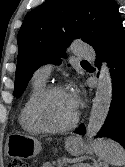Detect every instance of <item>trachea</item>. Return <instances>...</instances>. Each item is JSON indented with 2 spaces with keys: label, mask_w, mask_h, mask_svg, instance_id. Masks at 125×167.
Segmentation results:
<instances>
[{
  "label": "trachea",
  "mask_w": 125,
  "mask_h": 167,
  "mask_svg": "<svg viewBox=\"0 0 125 167\" xmlns=\"http://www.w3.org/2000/svg\"><path fill=\"white\" fill-rule=\"evenodd\" d=\"M82 63H87V61L83 60Z\"/></svg>",
  "instance_id": "1"
}]
</instances>
